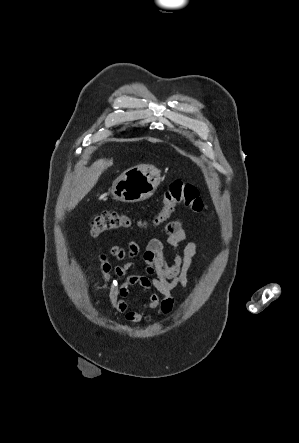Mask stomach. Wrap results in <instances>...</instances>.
<instances>
[{"mask_svg": "<svg viewBox=\"0 0 299 443\" xmlns=\"http://www.w3.org/2000/svg\"><path fill=\"white\" fill-rule=\"evenodd\" d=\"M161 182L160 171L153 166H134L124 171L112 184L115 200L135 203L150 198Z\"/></svg>", "mask_w": 299, "mask_h": 443, "instance_id": "1", "label": "stomach"}]
</instances>
